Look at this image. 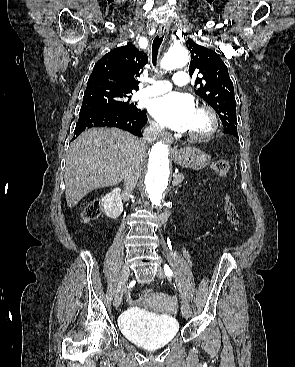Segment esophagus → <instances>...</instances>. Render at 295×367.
Returning a JSON list of instances; mask_svg holds the SVG:
<instances>
[{
    "label": "esophagus",
    "instance_id": "obj_1",
    "mask_svg": "<svg viewBox=\"0 0 295 367\" xmlns=\"http://www.w3.org/2000/svg\"><path fill=\"white\" fill-rule=\"evenodd\" d=\"M168 30H169L168 26H166V25L161 26L159 31H158V35L160 37H162V36L165 37L166 34L168 33ZM161 139H163L164 141H166L170 145L172 144V141H173V138H172L171 134H169L167 132H162L161 133Z\"/></svg>",
    "mask_w": 295,
    "mask_h": 367
}]
</instances>
